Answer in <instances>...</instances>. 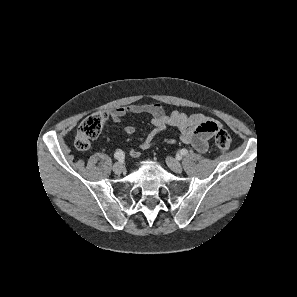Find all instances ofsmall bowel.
Returning a JSON list of instances; mask_svg holds the SVG:
<instances>
[{
  "label": "small bowel",
  "instance_id": "c3829d8e",
  "mask_svg": "<svg viewBox=\"0 0 297 297\" xmlns=\"http://www.w3.org/2000/svg\"><path fill=\"white\" fill-rule=\"evenodd\" d=\"M147 114L154 126L153 130L141 142V150H149L157 145V136L168 127L175 128L179 132V139L187 145H191L198 152L204 153L208 149V141L220 130V124L211 117L200 113L186 114L173 110L166 113L160 104L137 103L113 109L110 113L112 121L119 123L125 116ZM126 135H133L135 127L126 125L123 127ZM165 144H173L175 138H166L162 140ZM132 157L138 158L141 155L140 150L130 151Z\"/></svg>",
  "mask_w": 297,
  "mask_h": 297
}]
</instances>
